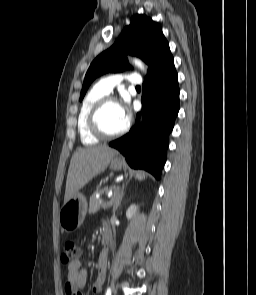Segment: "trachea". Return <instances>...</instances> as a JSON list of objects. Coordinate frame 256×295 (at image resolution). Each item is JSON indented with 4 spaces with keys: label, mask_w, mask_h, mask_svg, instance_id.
Here are the masks:
<instances>
[{
    "label": "trachea",
    "mask_w": 256,
    "mask_h": 295,
    "mask_svg": "<svg viewBox=\"0 0 256 295\" xmlns=\"http://www.w3.org/2000/svg\"><path fill=\"white\" fill-rule=\"evenodd\" d=\"M136 89H140V86H136Z\"/></svg>",
    "instance_id": "1"
}]
</instances>
